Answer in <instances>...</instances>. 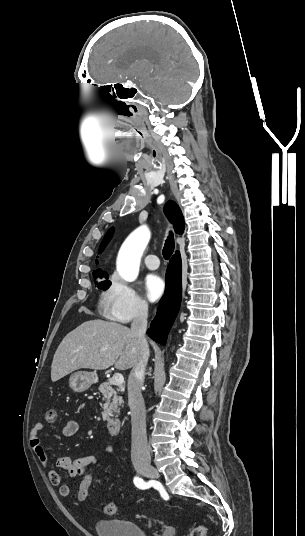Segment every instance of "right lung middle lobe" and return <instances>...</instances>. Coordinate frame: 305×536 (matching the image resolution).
<instances>
[{"label": "right lung middle lobe", "mask_w": 305, "mask_h": 536, "mask_svg": "<svg viewBox=\"0 0 305 536\" xmlns=\"http://www.w3.org/2000/svg\"><path fill=\"white\" fill-rule=\"evenodd\" d=\"M96 285L100 288V289H103V290H106L109 288V286L111 285V282L108 280V278H105L103 280H99L98 282H96Z\"/></svg>", "instance_id": "dd1d6c3e"}]
</instances>
